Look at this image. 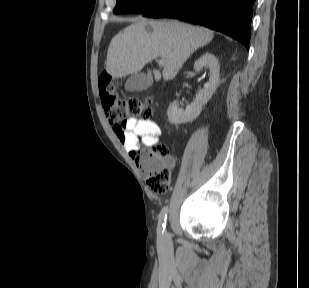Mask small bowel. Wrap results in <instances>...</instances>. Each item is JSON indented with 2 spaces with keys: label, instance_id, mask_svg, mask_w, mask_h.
<instances>
[{
  "label": "small bowel",
  "instance_id": "1",
  "mask_svg": "<svg viewBox=\"0 0 309 288\" xmlns=\"http://www.w3.org/2000/svg\"><path fill=\"white\" fill-rule=\"evenodd\" d=\"M116 133L125 150L134 155L140 146L150 147L158 142L162 126L153 120L132 118L117 126Z\"/></svg>",
  "mask_w": 309,
  "mask_h": 288
}]
</instances>
